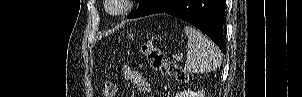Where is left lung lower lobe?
Returning <instances> with one entry per match:
<instances>
[{"label":"left lung lower lobe","mask_w":302,"mask_h":97,"mask_svg":"<svg viewBox=\"0 0 302 97\" xmlns=\"http://www.w3.org/2000/svg\"><path fill=\"white\" fill-rule=\"evenodd\" d=\"M156 13H167L194 25L208 35L226 54L223 41L225 0H150L143 9H137L127 18Z\"/></svg>","instance_id":"0a47b994"}]
</instances>
